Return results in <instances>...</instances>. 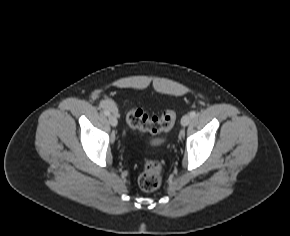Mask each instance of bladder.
I'll use <instances>...</instances> for the list:
<instances>
[{"label": "bladder", "mask_w": 290, "mask_h": 236, "mask_svg": "<svg viewBox=\"0 0 290 236\" xmlns=\"http://www.w3.org/2000/svg\"><path fill=\"white\" fill-rule=\"evenodd\" d=\"M148 146L149 147H157L161 144V140L159 138H152L148 141Z\"/></svg>", "instance_id": "31cf9c89"}]
</instances>
